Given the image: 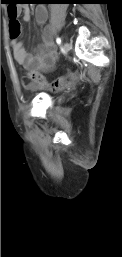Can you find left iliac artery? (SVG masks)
Here are the masks:
<instances>
[{"instance_id":"left-iliac-artery-1","label":"left iliac artery","mask_w":122,"mask_h":257,"mask_svg":"<svg viewBox=\"0 0 122 257\" xmlns=\"http://www.w3.org/2000/svg\"><path fill=\"white\" fill-rule=\"evenodd\" d=\"M56 42H57V44H61V42H62L61 38L58 37V38L56 39Z\"/></svg>"}]
</instances>
